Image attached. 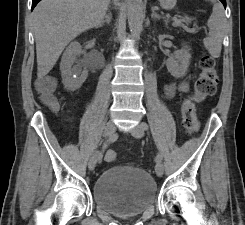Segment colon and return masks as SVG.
<instances>
[{"instance_id":"1","label":"colon","mask_w":245,"mask_h":225,"mask_svg":"<svg viewBox=\"0 0 245 225\" xmlns=\"http://www.w3.org/2000/svg\"><path fill=\"white\" fill-rule=\"evenodd\" d=\"M199 76L195 81L193 91L184 98L182 102V121L185 132L189 135L197 132L199 122L196 116V103L205 100L216 92L219 82L218 73L214 59L203 53L199 59ZM54 86L52 83L42 85L38 88L41 99L51 107H57L56 99L53 95ZM115 154L108 153L105 160L110 162L115 158Z\"/></svg>"}]
</instances>
